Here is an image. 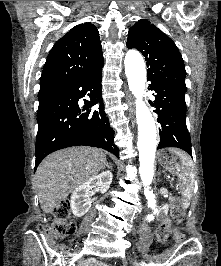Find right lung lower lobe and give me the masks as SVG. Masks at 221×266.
I'll use <instances>...</instances> for the list:
<instances>
[{
    "label": "right lung lower lobe",
    "instance_id": "right-lung-lower-lobe-1",
    "mask_svg": "<svg viewBox=\"0 0 221 266\" xmlns=\"http://www.w3.org/2000/svg\"><path fill=\"white\" fill-rule=\"evenodd\" d=\"M102 66L61 86L39 99L35 170L50 153L70 146L103 148L114 155L119 149L113 142V130L102 106ZM88 93L83 110L78 100ZM98 110H88L95 104ZM88 110L85 113H81Z\"/></svg>",
    "mask_w": 221,
    "mask_h": 266
}]
</instances>
